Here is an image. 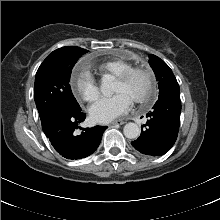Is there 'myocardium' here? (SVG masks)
<instances>
[{
	"label": "myocardium",
	"mask_w": 220,
	"mask_h": 220,
	"mask_svg": "<svg viewBox=\"0 0 220 220\" xmlns=\"http://www.w3.org/2000/svg\"><path fill=\"white\" fill-rule=\"evenodd\" d=\"M136 75H143L145 77L147 87H146V91L144 92V94L141 97L137 98L135 102L141 105L147 104L151 102L156 95L155 78H154L152 71L148 67L144 65L132 66L131 68L126 70L124 73H122L117 78V80L121 82H128Z\"/></svg>",
	"instance_id": "myocardium-1"
}]
</instances>
